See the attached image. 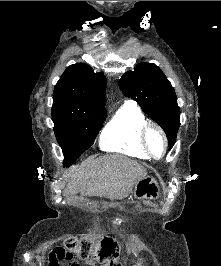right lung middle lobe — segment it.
<instances>
[{
    "label": "right lung middle lobe",
    "instance_id": "1",
    "mask_svg": "<svg viewBox=\"0 0 221 266\" xmlns=\"http://www.w3.org/2000/svg\"><path fill=\"white\" fill-rule=\"evenodd\" d=\"M52 119L57 142L65 156L64 165L69 166L93 145L106 113L85 114L68 100L53 99Z\"/></svg>",
    "mask_w": 221,
    "mask_h": 266
}]
</instances>
